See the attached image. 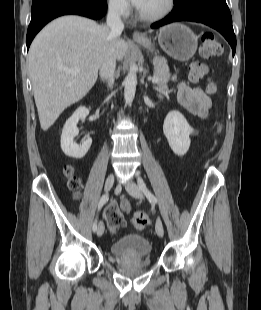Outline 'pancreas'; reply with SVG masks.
<instances>
[{
  "mask_svg": "<svg viewBox=\"0 0 261 310\" xmlns=\"http://www.w3.org/2000/svg\"><path fill=\"white\" fill-rule=\"evenodd\" d=\"M154 77H157L159 86H164L170 79L169 67L163 59H155L154 62Z\"/></svg>",
  "mask_w": 261,
  "mask_h": 310,
  "instance_id": "obj_1",
  "label": "pancreas"
}]
</instances>
